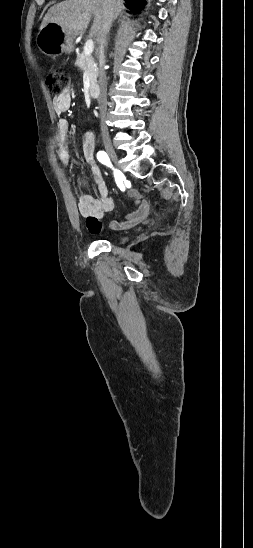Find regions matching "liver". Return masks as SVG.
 Instances as JSON below:
<instances>
[{"mask_svg": "<svg viewBox=\"0 0 253 548\" xmlns=\"http://www.w3.org/2000/svg\"><path fill=\"white\" fill-rule=\"evenodd\" d=\"M117 4L115 17L125 9L122 0H117ZM91 16L94 17V21L90 37L98 39L104 19V0H65L57 3L47 11L40 29L49 23H55L68 36L74 38L87 29Z\"/></svg>", "mask_w": 253, "mask_h": 548, "instance_id": "6515ba94", "label": "liver"}]
</instances>
